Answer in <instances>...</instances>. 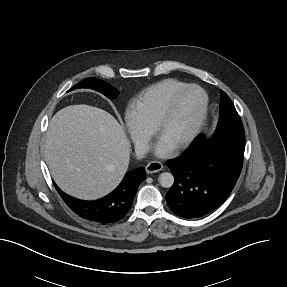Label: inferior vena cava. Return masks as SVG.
<instances>
[{
    "instance_id": "inferior-vena-cava-1",
    "label": "inferior vena cava",
    "mask_w": 287,
    "mask_h": 287,
    "mask_svg": "<svg viewBox=\"0 0 287 287\" xmlns=\"http://www.w3.org/2000/svg\"><path fill=\"white\" fill-rule=\"evenodd\" d=\"M148 151L149 147L146 144H139L135 146V152L139 159L144 158Z\"/></svg>"
}]
</instances>
